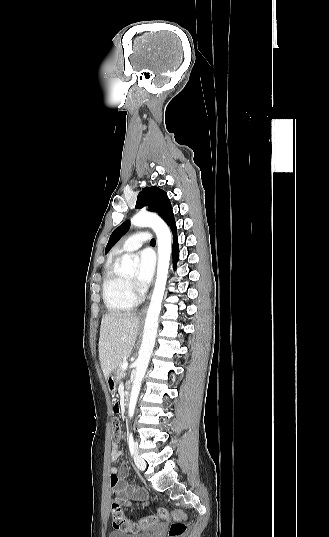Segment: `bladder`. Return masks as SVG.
Here are the masks:
<instances>
[{
	"mask_svg": "<svg viewBox=\"0 0 329 537\" xmlns=\"http://www.w3.org/2000/svg\"><path fill=\"white\" fill-rule=\"evenodd\" d=\"M158 528H153L150 531L142 533H125L120 531H112L109 533L108 537H154V534L157 532Z\"/></svg>",
	"mask_w": 329,
	"mask_h": 537,
	"instance_id": "31cf9c89",
	"label": "bladder"
}]
</instances>
